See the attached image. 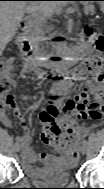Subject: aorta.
<instances>
[{"instance_id":"obj_1","label":"aorta","mask_w":104,"mask_h":189,"mask_svg":"<svg viewBox=\"0 0 104 189\" xmlns=\"http://www.w3.org/2000/svg\"><path fill=\"white\" fill-rule=\"evenodd\" d=\"M66 35H58L57 36V44H56V49H57V54H58V56L61 58V59H64V58H66L67 56H68V54H69V52H68V48H67V46H66ZM64 62H60L59 64H58V66H57V75H64L65 73V71H64Z\"/></svg>"}]
</instances>
